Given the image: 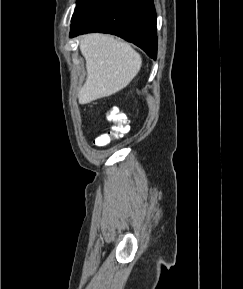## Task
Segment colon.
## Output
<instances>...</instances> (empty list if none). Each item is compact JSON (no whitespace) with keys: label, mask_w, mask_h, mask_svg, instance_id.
<instances>
[{"label":"colon","mask_w":243,"mask_h":289,"mask_svg":"<svg viewBox=\"0 0 243 289\" xmlns=\"http://www.w3.org/2000/svg\"><path fill=\"white\" fill-rule=\"evenodd\" d=\"M106 119L110 123V126L105 133L95 139V144L99 147L106 146L112 140L122 137L129 131L127 117L117 107L106 110Z\"/></svg>","instance_id":"obj_1"}]
</instances>
